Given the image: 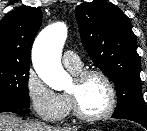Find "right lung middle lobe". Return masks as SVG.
<instances>
[{
    "label": "right lung middle lobe",
    "instance_id": "1",
    "mask_svg": "<svg viewBox=\"0 0 147 131\" xmlns=\"http://www.w3.org/2000/svg\"><path fill=\"white\" fill-rule=\"evenodd\" d=\"M30 65L0 62V103L30 106L28 78Z\"/></svg>",
    "mask_w": 147,
    "mask_h": 131
}]
</instances>
